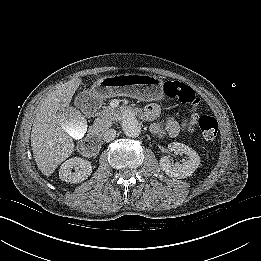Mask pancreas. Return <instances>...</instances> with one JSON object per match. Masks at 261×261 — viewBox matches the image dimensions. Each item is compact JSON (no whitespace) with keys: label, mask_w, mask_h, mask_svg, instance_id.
<instances>
[{"label":"pancreas","mask_w":261,"mask_h":261,"mask_svg":"<svg viewBox=\"0 0 261 261\" xmlns=\"http://www.w3.org/2000/svg\"><path fill=\"white\" fill-rule=\"evenodd\" d=\"M114 116L110 115H102L96 119V121L93 124V129H95L96 132L101 133L107 130L113 123Z\"/></svg>","instance_id":"obj_1"}]
</instances>
